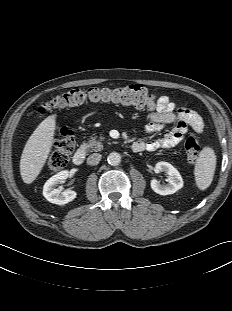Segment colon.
Returning <instances> with one entry per match:
<instances>
[{
  "mask_svg": "<svg viewBox=\"0 0 232 311\" xmlns=\"http://www.w3.org/2000/svg\"><path fill=\"white\" fill-rule=\"evenodd\" d=\"M88 101L112 102L147 110L154 109L157 104L155 95L149 93L146 88L140 85H129L117 88H76L51 99L44 105L43 111L48 112L55 109L79 106ZM74 149V132L70 127H63L49 156L48 168L50 170H59L63 168ZM184 149L188 162L194 163L200 151L199 142L194 134L188 136L184 144Z\"/></svg>",
  "mask_w": 232,
  "mask_h": 311,
  "instance_id": "obj_1",
  "label": "colon"
}]
</instances>
